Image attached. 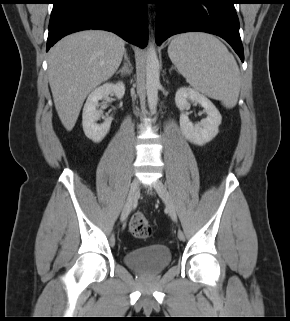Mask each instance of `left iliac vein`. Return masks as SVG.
<instances>
[{
  "label": "left iliac vein",
  "instance_id": "4c4485c4",
  "mask_svg": "<svg viewBox=\"0 0 290 321\" xmlns=\"http://www.w3.org/2000/svg\"><path fill=\"white\" fill-rule=\"evenodd\" d=\"M154 189L157 192V194L159 195V197L165 203L171 219L173 221H177V212H176L175 206L170 198V195H169V192H168L166 186L160 180H157L154 183Z\"/></svg>",
  "mask_w": 290,
  "mask_h": 321
}]
</instances>
